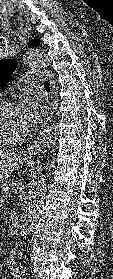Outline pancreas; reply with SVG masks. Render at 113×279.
Here are the masks:
<instances>
[{
    "mask_svg": "<svg viewBox=\"0 0 113 279\" xmlns=\"http://www.w3.org/2000/svg\"><path fill=\"white\" fill-rule=\"evenodd\" d=\"M8 181L4 180L2 182V186H1V194L2 195H7L9 193V187L7 186Z\"/></svg>",
    "mask_w": 113,
    "mask_h": 279,
    "instance_id": "obj_1",
    "label": "pancreas"
}]
</instances>
